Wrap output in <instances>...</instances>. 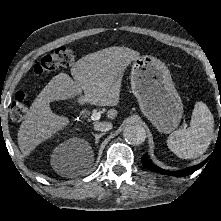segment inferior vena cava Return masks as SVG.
Listing matches in <instances>:
<instances>
[{
  "label": "inferior vena cava",
  "mask_w": 221,
  "mask_h": 221,
  "mask_svg": "<svg viewBox=\"0 0 221 221\" xmlns=\"http://www.w3.org/2000/svg\"><path fill=\"white\" fill-rule=\"evenodd\" d=\"M94 129L96 131L106 132L112 129V124L110 122H97L94 124Z\"/></svg>",
  "instance_id": "inferior-vena-cava-1"
}]
</instances>
